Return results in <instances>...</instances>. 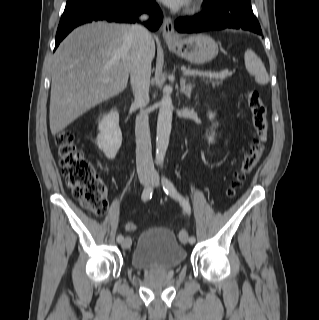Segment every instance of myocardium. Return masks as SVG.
Instances as JSON below:
<instances>
[{"instance_id":"1","label":"myocardium","mask_w":319,"mask_h":320,"mask_svg":"<svg viewBox=\"0 0 319 320\" xmlns=\"http://www.w3.org/2000/svg\"><path fill=\"white\" fill-rule=\"evenodd\" d=\"M197 7V5L196 4H194L193 6H192V9H195Z\"/></svg>"}]
</instances>
